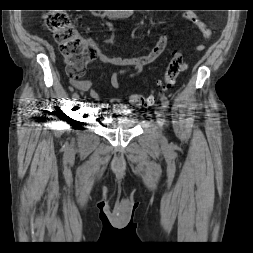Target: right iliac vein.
I'll use <instances>...</instances> for the list:
<instances>
[{
  "mask_svg": "<svg viewBox=\"0 0 253 253\" xmlns=\"http://www.w3.org/2000/svg\"><path fill=\"white\" fill-rule=\"evenodd\" d=\"M81 99H82V96H79L78 98V102L75 104V107L72 111V120H73V126H76V120L78 118V114L81 110V107H82V102H81Z\"/></svg>",
  "mask_w": 253,
  "mask_h": 253,
  "instance_id": "1",
  "label": "right iliac vein"
}]
</instances>
